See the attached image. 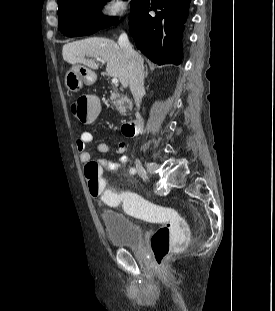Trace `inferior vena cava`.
Listing matches in <instances>:
<instances>
[{"mask_svg": "<svg viewBox=\"0 0 275 311\" xmlns=\"http://www.w3.org/2000/svg\"><path fill=\"white\" fill-rule=\"evenodd\" d=\"M120 48L123 49L128 58L129 65V87L135 100V104L139 109L142 96L144 93V67L143 59L139 56L129 43L126 33H122L118 39ZM139 113H136L138 116Z\"/></svg>", "mask_w": 275, "mask_h": 311, "instance_id": "602c4592", "label": "inferior vena cava"}]
</instances>
